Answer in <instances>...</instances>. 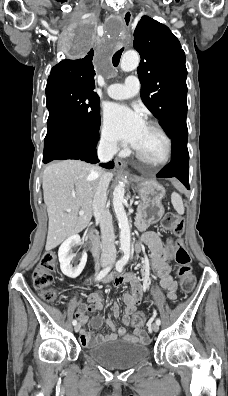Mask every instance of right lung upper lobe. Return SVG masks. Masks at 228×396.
Listing matches in <instances>:
<instances>
[{
  "label": "right lung upper lobe",
  "mask_w": 228,
  "mask_h": 396,
  "mask_svg": "<svg viewBox=\"0 0 228 396\" xmlns=\"http://www.w3.org/2000/svg\"><path fill=\"white\" fill-rule=\"evenodd\" d=\"M93 55L94 51L91 49L82 58L62 60L51 69L48 80H69L93 90L95 88Z\"/></svg>",
  "instance_id": "1"
}]
</instances>
